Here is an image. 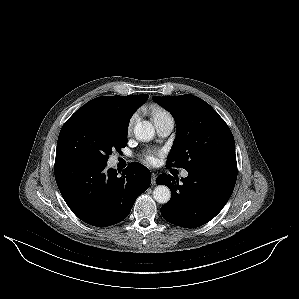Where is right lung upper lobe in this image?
Here are the masks:
<instances>
[{
	"label": "right lung upper lobe",
	"instance_id": "cb5924a9",
	"mask_svg": "<svg viewBox=\"0 0 299 299\" xmlns=\"http://www.w3.org/2000/svg\"><path fill=\"white\" fill-rule=\"evenodd\" d=\"M148 95L102 96L90 100L77 111L91 110L111 114L129 121L133 113L148 99Z\"/></svg>",
	"mask_w": 299,
	"mask_h": 299
}]
</instances>
